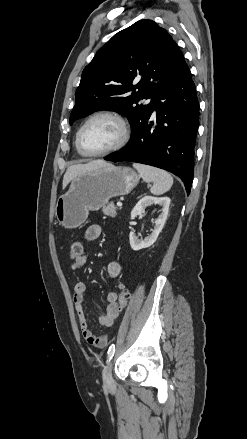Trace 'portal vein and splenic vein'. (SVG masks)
Masks as SVG:
<instances>
[{
  "instance_id": "18ae733b",
  "label": "portal vein and splenic vein",
  "mask_w": 247,
  "mask_h": 439,
  "mask_svg": "<svg viewBox=\"0 0 247 439\" xmlns=\"http://www.w3.org/2000/svg\"><path fill=\"white\" fill-rule=\"evenodd\" d=\"M118 207H122V202H117Z\"/></svg>"
}]
</instances>
